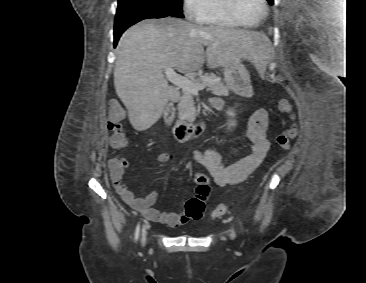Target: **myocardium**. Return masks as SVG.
<instances>
[{"mask_svg":"<svg viewBox=\"0 0 366 283\" xmlns=\"http://www.w3.org/2000/svg\"><path fill=\"white\" fill-rule=\"evenodd\" d=\"M236 2L237 0H220V5L225 14L237 25H240L242 27L252 28L258 26L266 17L268 13V4L267 0H261V3L263 5V13L262 15L254 22V23H246L243 21L240 16L237 13L236 8Z\"/></svg>","mask_w":366,"mask_h":283,"instance_id":"1","label":"myocardium"}]
</instances>
